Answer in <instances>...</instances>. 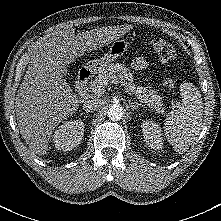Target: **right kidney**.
<instances>
[{
	"label": "right kidney",
	"mask_w": 221,
	"mask_h": 221,
	"mask_svg": "<svg viewBox=\"0 0 221 221\" xmlns=\"http://www.w3.org/2000/svg\"><path fill=\"white\" fill-rule=\"evenodd\" d=\"M84 128L82 120H71L63 123L53 135L55 148L70 151L77 147L83 138Z\"/></svg>",
	"instance_id": "obj_1"
}]
</instances>
